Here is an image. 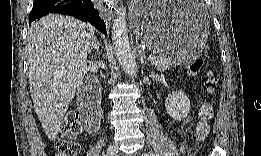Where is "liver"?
<instances>
[{
  "mask_svg": "<svg viewBox=\"0 0 261 156\" xmlns=\"http://www.w3.org/2000/svg\"><path fill=\"white\" fill-rule=\"evenodd\" d=\"M94 28L51 14L32 23L27 36L29 87L44 132L54 140L87 69Z\"/></svg>",
  "mask_w": 261,
  "mask_h": 156,
  "instance_id": "6515ba94",
  "label": "liver"
}]
</instances>
